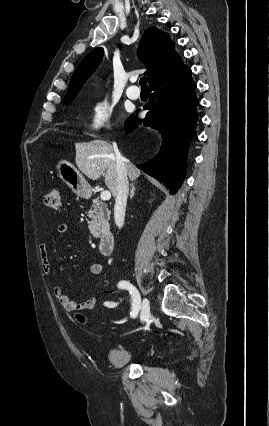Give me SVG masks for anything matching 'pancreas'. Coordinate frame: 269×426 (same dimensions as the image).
<instances>
[{"label": "pancreas", "instance_id": "pancreas-1", "mask_svg": "<svg viewBox=\"0 0 269 426\" xmlns=\"http://www.w3.org/2000/svg\"><path fill=\"white\" fill-rule=\"evenodd\" d=\"M110 214V210L104 202L98 198L93 200L92 210L88 214L91 218L88 228L95 238L100 236L101 227L109 225Z\"/></svg>", "mask_w": 269, "mask_h": 426}]
</instances>
